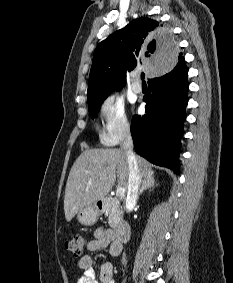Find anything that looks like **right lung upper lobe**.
Segmentation results:
<instances>
[{
	"label": "right lung upper lobe",
	"instance_id": "cb5924a9",
	"mask_svg": "<svg viewBox=\"0 0 233 283\" xmlns=\"http://www.w3.org/2000/svg\"><path fill=\"white\" fill-rule=\"evenodd\" d=\"M169 28L150 18H137L100 42L93 55L88 82V106L102 103L125 83L126 71L171 70L186 54ZM161 59V60H159Z\"/></svg>",
	"mask_w": 233,
	"mask_h": 283
}]
</instances>
